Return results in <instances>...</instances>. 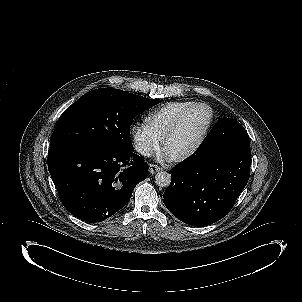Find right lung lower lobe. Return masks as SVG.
Returning <instances> with one entry per match:
<instances>
[{
    "label": "right lung lower lobe",
    "instance_id": "98d812e1",
    "mask_svg": "<svg viewBox=\"0 0 302 302\" xmlns=\"http://www.w3.org/2000/svg\"><path fill=\"white\" fill-rule=\"evenodd\" d=\"M48 168L64 207L86 222L124 207L148 174V164L132 150L99 141L51 146Z\"/></svg>",
    "mask_w": 302,
    "mask_h": 302
}]
</instances>
